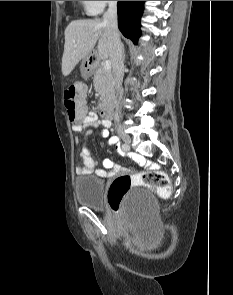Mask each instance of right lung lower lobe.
Here are the masks:
<instances>
[{
	"label": "right lung lower lobe",
	"instance_id": "right-lung-lower-lobe-1",
	"mask_svg": "<svg viewBox=\"0 0 233 295\" xmlns=\"http://www.w3.org/2000/svg\"><path fill=\"white\" fill-rule=\"evenodd\" d=\"M144 1H118V27L123 35L137 44Z\"/></svg>",
	"mask_w": 233,
	"mask_h": 295
}]
</instances>
